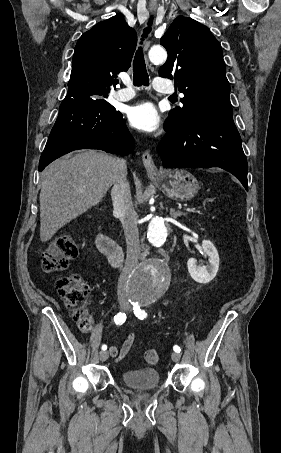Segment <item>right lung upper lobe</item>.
Masks as SVG:
<instances>
[{
    "label": "right lung upper lobe",
    "instance_id": "obj_1",
    "mask_svg": "<svg viewBox=\"0 0 281 453\" xmlns=\"http://www.w3.org/2000/svg\"><path fill=\"white\" fill-rule=\"evenodd\" d=\"M137 35L120 16L99 22L78 40L65 100L101 99L131 66Z\"/></svg>",
    "mask_w": 281,
    "mask_h": 453
}]
</instances>
